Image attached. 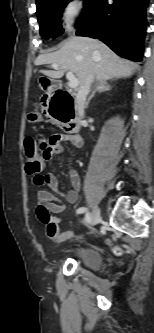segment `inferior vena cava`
<instances>
[{
	"mask_svg": "<svg viewBox=\"0 0 154 333\" xmlns=\"http://www.w3.org/2000/svg\"><path fill=\"white\" fill-rule=\"evenodd\" d=\"M93 79H94V74L91 72L87 76V79L84 82V84L80 86V88L77 92V95H76L75 106H76L78 114L80 115L81 118L84 116V108H85V104H86L85 101H86V97L90 91V87L93 82Z\"/></svg>",
	"mask_w": 154,
	"mask_h": 333,
	"instance_id": "inferior-vena-cava-1",
	"label": "inferior vena cava"
}]
</instances>
